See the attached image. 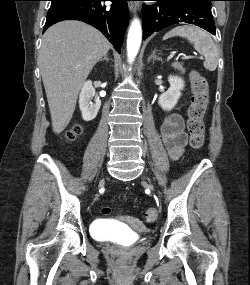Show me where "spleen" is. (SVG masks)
I'll use <instances>...</instances> for the list:
<instances>
[{
    "instance_id": "3e777b00",
    "label": "spleen",
    "mask_w": 250,
    "mask_h": 285,
    "mask_svg": "<svg viewBox=\"0 0 250 285\" xmlns=\"http://www.w3.org/2000/svg\"><path fill=\"white\" fill-rule=\"evenodd\" d=\"M179 36L193 44L196 51L205 57L204 68L215 71L218 65V49L211 36L204 30L195 26H178L170 30L163 37L164 40Z\"/></svg>"
}]
</instances>
